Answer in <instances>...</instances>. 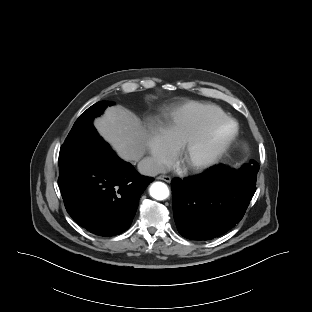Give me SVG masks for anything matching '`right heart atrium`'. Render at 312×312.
<instances>
[{"label": "right heart atrium", "instance_id": "right-heart-atrium-1", "mask_svg": "<svg viewBox=\"0 0 312 312\" xmlns=\"http://www.w3.org/2000/svg\"><path fill=\"white\" fill-rule=\"evenodd\" d=\"M145 147L150 154L153 172L165 168L175 155L176 147L167 137L160 122L150 121L145 128Z\"/></svg>", "mask_w": 312, "mask_h": 312}]
</instances>
